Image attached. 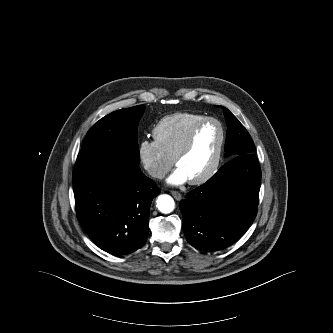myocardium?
Returning a JSON list of instances; mask_svg holds the SVG:
<instances>
[{"mask_svg":"<svg viewBox=\"0 0 333 333\" xmlns=\"http://www.w3.org/2000/svg\"><path fill=\"white\" fill-rule=\"evenodd\" d=\"M210 123L217 124L220 129V142H219L218 150H217L215 159H214L212 165L210 166V168L204 174L199 176L198 178L189 180V183L191 185H201V184L207 182L217 173V171L220 167V164H221V161L223 158L224 147H225V143H226V131H225V128H224V125L222 124V122L220 120H218L217 118L208 117V118L203 119L199 123H197L191 129V131L189 132L185 141L183 142V144L177 150V152L175 153V155L173 157V163L175 166H177L179 159H181L191 150V148L194 144L195 138L197 136V133L200 131V129H202L204 126H206L207 124H210Z\"/></svg>","mask_w":333,"mask_h":333,"instance_id":"1","label":"myocardium"}]
</instances>
